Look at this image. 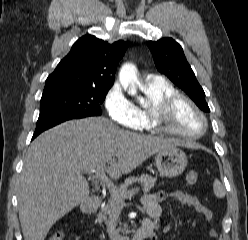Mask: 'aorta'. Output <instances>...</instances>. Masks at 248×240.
Here are the masks:
<instances>
[{
    "mask_svg": "<svg viewBox=\"0 0 248 240\" xmlns=\"http://www.w3.org/2000/svg\"><path fill=\"white\" fill-rule=\"evenodd\" d=\"M119 81L129 95L135 96L137 94L136 84L138 83L136 66L131 63H125L120 69ZM140 102L143 103L144 99L141 98Z\"/></svg>",
    "mask_w": 248,
    "mask_h": 240,
    "instance_id": "aorta-1",
    "label": "aorta"
}]
</instances>
